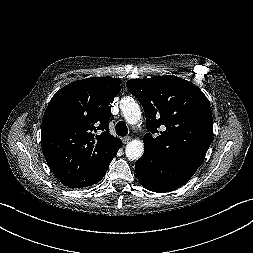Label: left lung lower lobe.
Masks as SVG:
<instances>
[{"label":"left lung lower lobe","instance_id":"left-lung-lower-lobe-1","mask_svg":"<svg viewBox=\"0 0 253 253\" xmlns=\"http://www.w3.org/2000/svg\"><path fill=\"white\" fill-rule=\"evenodd\" d=\"M199 166L186 163L178 166L164 164L145 150L135 163V171L139 182L153 192H170L184 185Z\"/></svg>","mask_w":253,"mask_h":253}]
</instances>
